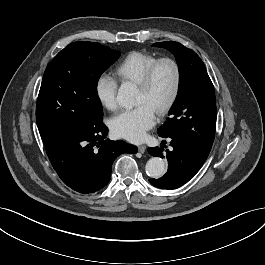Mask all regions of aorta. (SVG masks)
Returning a JSON list of instances; mask_svg holds the SVG:
<instances>
[{
    "mask_svg": "<svg viewBox=\"0 0 265 265\" xmlns=\"http://www.w3.org/2000/svg\"><path fill=\"white\" fill-rule=\"evenodd\" d=\"M136 88L132 84H122L118 90L117 102L122 107L130 108L135 103ZM165 162L160 157L150 158L145 165V172L151 178H160L165 173Z\"/></svg>",
    "mask_w": 265,
    "mask_h": 265,
    "instance_id": "762f6f07",
    "label": "aorta"
}]
</instances>
